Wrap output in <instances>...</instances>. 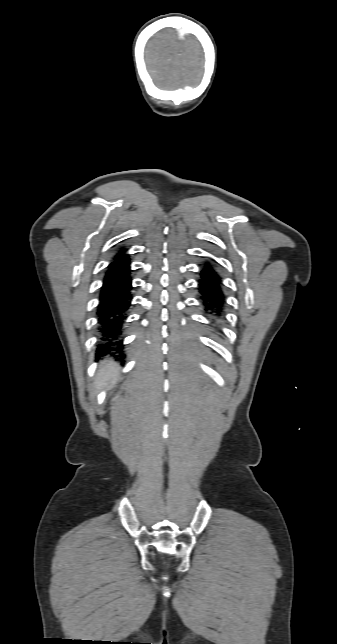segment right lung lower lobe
I'll use <instances>...</instances> for the list:
<instances>
[{
  "label": "right lung lower lobe",
  "instance_id": "98d812e1",
  "mask_svg": "<svg viewBox=\"0 0 337 644\" xmlns=\"http://www.w3.org/2000/svg\"><path fill=\"white\" fill-rule=\"evenodd\" d=\"M130 260L128 256L115 258L108 266L99 295L97 317L100 339L97 351H115L125 357L121 335L132 300ZM115 353H111L114 355Z\"/></svg>",
  "mask_w": 337,
  "mask_h": 644
}]
</instances>
